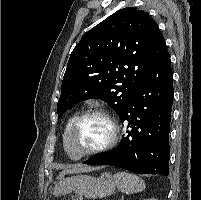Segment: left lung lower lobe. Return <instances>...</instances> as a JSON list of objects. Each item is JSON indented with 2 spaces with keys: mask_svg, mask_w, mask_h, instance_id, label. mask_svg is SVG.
<instances>
[{
  "mask_svg": "<svg viewBox=\"0 0 201 200\" xmlns=\"http://www.w3.org/2000/svg\"><path fill=\"white\" fill-rule=\"evenodd\" d=\"M174 97L168 51L129 97L119 115L128 121L126 136L113 150L85 161L112 165L137 174H169V132Z\"/></svg>",
  "mask_w": 201,
  "mask_h": 200,
  "instance_id": "1",
  "label": "left lung lower lobe"
}]
</instances>
